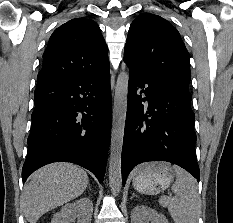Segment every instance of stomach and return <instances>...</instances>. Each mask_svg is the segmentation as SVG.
Listing matches in <instances>:
<instances>
[{
  "mask_svg": "<svg viewBox=\"0 0 233 223\" xmlns=\"http://www.w3.org/2000/svg\"><path fill=\"white\" fill-rule=\"evenodd\" d=\"M175 177V167L164 161L144 163L133 177V185L139 193L156 195L169 187Z\"/></svg>",
  "mask_w": 233,
  "mask_h": 223,
  "instance_id": "0dacf381",
  "label": "stomach"
}]
</instances>
